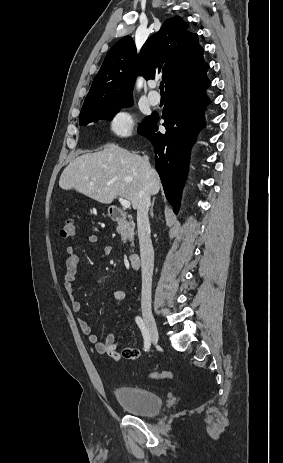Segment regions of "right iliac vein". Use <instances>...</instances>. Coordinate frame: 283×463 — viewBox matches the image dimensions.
I'll list each match as a JSON object with an SVG mask.
<instances>
[{
	"label": "right iliac vein",
	"instance_id": "right-iliac-vein-1",
	"mask_svg": "<svg viewBox=\"0 0 283 463\" xmlns=\"http://www.w3.org/2000/svg\"><path fill=\"white\" fill-rule=\"evenodd\" d=\"M143 318L146 322L150 338L154 344L158 342V329L152 313L148 310L143 311Z\"/></svg>",
	"mask_w": 283,
	"mask_h": 463
}]
</instances>
